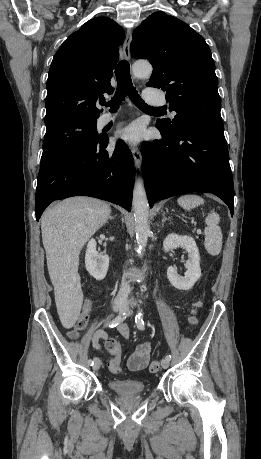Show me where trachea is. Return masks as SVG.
Here are the masks:
<instances>
[{"label":"trachea","mask_w":261,"mask_h":459,"mask_svg":"<svg viewBox=\"0 0 261 459\" xmlns=\"http://www.w3.org/2000/svg\"><path fill=\"white\" fill-rule=\"evenodd\" d=\"M117 80V89L114 97L109 103L105 100L100 102L101 105L110 106L111 110H116L118 106L125 99L126 95L129 96L131 101L141 110L146 111H160L161 108L151 107L147 105L139 96L136 88L133 86L129 63L126 60H121L115 69Z\"/></svg>","instance_id":"3493384b"}]
</instances>
